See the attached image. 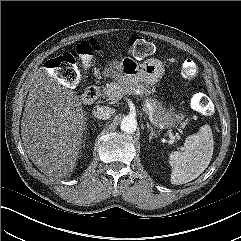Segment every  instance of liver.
<instances>
[{
    "instance_id": "6515ba94",
    "label": "liver",
    "mask_w": 241,
    "mask_h": 241,
    "mask_svg": "<svg viewBox=\"0 0 241 241\" xmlns=\"http://www.w3.org/2000/svg\"><path fill=\"white\" fill-rule=\"evenodd\" d=\"M34 78L21 120V136L31 161L50 180H58L76 166L87 112L76 92L43 68Z\"/></svg>"
}]
</instances>
